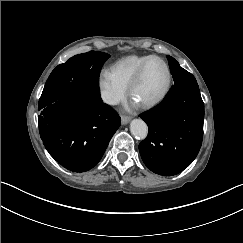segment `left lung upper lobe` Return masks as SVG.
Segmentation results:
<instances>
[{
  "mask_svg": "<svg viewBox=\"0 0 243 243\" xmlns=\"http://www.w3.org/2000/svg\"><path fill=\"white\" fill-rule=\"evenodd\" d=\"M167 59L169 61L170 71L175 82L172 88L178 86H198L195 77L180 67L179 63L174 58L167 56Z\"/></svg>",
  "mask_w": 243,
  "mask_h": 243,
  "instance_id": "left-lung-upper-lobe-1",
  "label": "left lung upper lobe"
}]
</instances>
